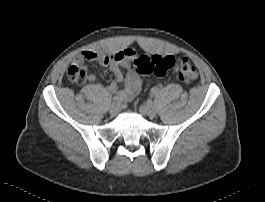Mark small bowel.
<instances>
[{"label":"small bowel","instance_id":"1","mask_svg":"<svg viewBox=\"0 0 265 202\" xmlns=\"http://www.w3.org/2000/svg\"><path fill=\"white\" fill-rule=\"evenodd\" d=\"M132 50L119 51L113 55H106L94 51H82L79 53L74 63L83 66L85 63L94 62L104 66L109 72L114 75V80L107 86V90L113 94H117L124 101H130L136 97L141 89L143 82L141 78L133 72L130 67L132 63ZM122 69L126 70L125 73ZM179 64L177 63L174 72L178 71ZM85 79L94 81L96 75L87 72ZM124 82V87L119 88V84Z\"/></svg>","mask_w":265,"mask_h":202}]
</instances>
